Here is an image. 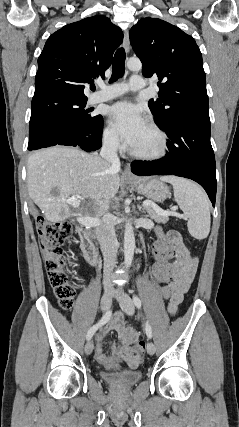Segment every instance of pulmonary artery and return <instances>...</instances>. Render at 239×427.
Returning a JSON list of instances; mask_svg holds the SVG:
<instances>
[{"mask_svg":"<svg viewBox=\"0 0 239 427\" xmlns=\"http://www.w3.org/2000/svg\"><path fill=\"white\" fill-rule=\"evenodd\" d=\"M146 88L145 80L139 75H133L128 83H115L109 86L101 85V90L93 94L89 103L104 102L123 95L128 91H140Z\"/></svg>","mask_w":239,"mask_h":427,"instance_id":"obj_1","label":"pulmonary artery"}]
</instances>
